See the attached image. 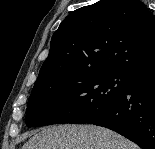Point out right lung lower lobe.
I'll list each match as a JSON object with an SVG mask.
<instances>
[{
  "instance_id": "1",
  "label": "right lung lower lobe",
  "mask_w": 155,
  "mask_h": 149,
  "mask_svg": "<svg viewBox=\"0 0 155 149\" xmlns=\"http://www.w3.org/2000/svg\"><path fill=\"white\" fill-rule=\"evenodd\" d=\"M87 123L109 128L142 149H155V70L135 73L128 89Z\"/></svg>"
}]
</instances>
